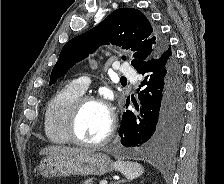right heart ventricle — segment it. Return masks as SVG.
<instances>
[{
	"label": "right heart ventricle",
	"mask_w": 224,
	"mask_h": 184,
	"mask_svg": "<svg viewBox=\"0 0 224 184\" xmlns=\"http://www.w3.org/2000/svg\"><path fill=\"white\" fill-rule=\"evenodd\" d=\"M83 94L75 85L70 84L60 89L49 101L44 119V130L48 140L57 145L70 143L66 132L69 111Z\"/></svg>",
	"instance_id": "obj_1"
}]
</instances>
